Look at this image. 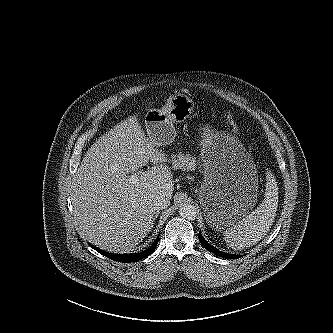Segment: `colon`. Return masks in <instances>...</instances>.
Here are the masks:
<instances>
[{
	"label": "colon",
	"mask_w": 333,
	"mask_h": 333,
	"mask_svg": "<svg viewBox=\"0 0 333 333\" xmlns=\"http://www.w3.org/2000/svg\"><path fill=\"white\" fill-rule=\"evenodd\" d=\"M230 121L234 127L235 130H238L237 124L232 120V118L230 117Z\"/></svg>",
	"instance_id": "obj_1"
}]
</instances>
